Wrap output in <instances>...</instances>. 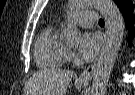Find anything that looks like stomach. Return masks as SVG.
<instances>
[{"label":"stomach","instance_id":"1","mask_svg":"<svg viewBox=\"0 0 135 95\" xmlns=\"http://www.w3.org/2000/svg\"><path fill=\"white\" fill-rule=\"evenodd\" d=\"M86 85V83L80 84V86L84 87Z\"/></svg>","mask_w":135,"mask_h":95}]
</instances>
